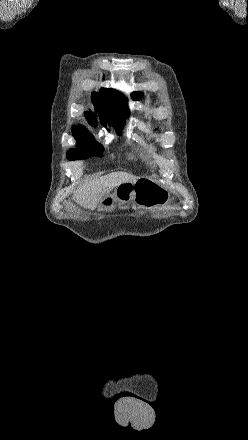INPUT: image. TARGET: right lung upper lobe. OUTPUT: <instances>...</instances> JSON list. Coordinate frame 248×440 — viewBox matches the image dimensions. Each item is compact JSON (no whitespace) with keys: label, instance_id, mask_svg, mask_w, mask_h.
Returning a JSON list of instances; mask_svg holds the SVG:
<instances>
[{"label":"right lung upper lobe","instance_id":"obj_1","mask_svg":"<svg viewBox=\"0 0 248 440\" xmlns=\"http://www.w3.org/2000/svg\"><path fill=\"white\" fill-rule=\"evenodd\" d=\"M92 101L96 112L102 118V124L105 126L108 122L116 131H120L129 114L125 99L122 95L113 89L102 88L99 94H92ZM85 117L91 125H96L93 113L85 112ZM72 133L77 140V146H80L87 136H92L82 125L73 126Z\"/></svg>","mask_w":248,"mask_h":440}]
</instances>
